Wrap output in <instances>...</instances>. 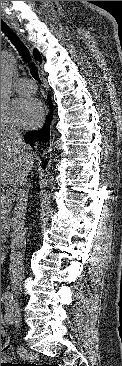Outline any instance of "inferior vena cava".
Segmentation results:
<instances>
[{"mask_svg":"<svg viewBox=\"0 0 122 366\" xmlns=\"http://www.w3.org/2000/svg\"><path fill=\"white\" fill-rule=\"evenodd\" d=\"M7 142L16 146L24 154V160L28 163L30 148L22 140L20 133L17 130L5 131ZM26 157V158H25ZM31 184L28 181V175L24 174L22 179L14 187L16 194V205L13 212V217L10 219L9 226L11 229V254H10V279L12 281V290L17 294V290H21V280L23 273V257L26 246L25 234V216L27 202L29 196V188Z\"/></svg>","mask_w":122,"mask_h":366,"instance_id":"602c4592","label":"inferior vena cava"}]
</instances>
